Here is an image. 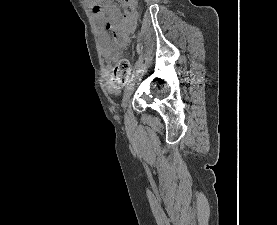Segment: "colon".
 <instances>
[{
	"instance_id": "5ec220e1",
	"label": "colon",
	"mask_w": 277,
	"mask_h": 225,
	"mask_svg": "<svg viewBox=\"0 0 277 225\" xmlns=\"http://www.w3.org/2000/svg\"><path fill=\"white\" fill-rule=\"evenodd\" d=\"M130 76V64L124 57L117 58L114 63L112 79L115 84L125 83Z\"/></svg>"
}]
</instances>
